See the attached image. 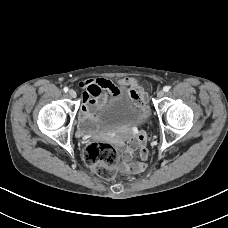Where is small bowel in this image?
I'll return each mask as SVG.
<instances>
[{
  "label": "small bowel",
  "instance_id": "c3829d8e",
  "mask_svg": "<svg viewBox=\"0 0 228 228\" xmlns=\"http://www.w3.org/2000/svg\"><path fill=\"white\" fill-rule=\"evenodd\" d=\"M82 92V107L80 117L82 124L86 125L89 119L94 118L96 112L104 103L107 93L114 92L119 89V85L129 86L130 97L140 105L146 103V94L142 86L132 78H124L118 82V85L104 78H91L80 82ZM136 149H139L140 160L132 162V156ZM147 149L144 145V137L139 135L131 140L123 151L124 171L132 174H138L145 171L147 164Z\"/></svg>",
  "mask_w": 228,
  "mask_h": 228
}]
</instances>
